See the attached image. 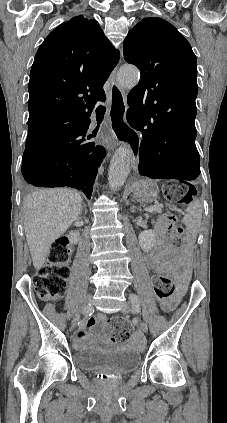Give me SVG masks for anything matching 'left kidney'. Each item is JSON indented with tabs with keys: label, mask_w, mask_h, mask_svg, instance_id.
Segmentation results:
<instances>
[{
	"label": "left kidney",
	"mask_w": 227,
	"mask_h": 423,
	"mask_svg": "<svg viewBox=\"0 0 227 423\" xmlns=\"http://www.w3.org/2000/svg\"><path fill=\"white\" fill-rule=\"evenodd\" d=\"M131 211H135V208H131ZM154 223V221H152ZM139 243L141 249L143 251H149L152 249L154 243H156V231H152V229H145V231H141L138 235Z\"/></svg>",
	"instance_id": "left-kidney-1"
}]
</instances>
